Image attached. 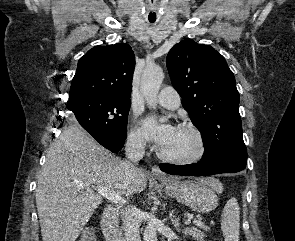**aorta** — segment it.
Returning <instances> with one entry per match:
<instances>
[{
	"instance_id": "aorta-1",
	"label": "aorta",
	"mask_w": 295,
	"mask_h": 241,
	"mask_svg": "<svg viewBox=\"0 0 295 241\" xmlns=\"http://www.w3.org/2000/svg\"><path fill=\"white\" fill-rule=\"evenodd\" d=\"M164 79V72L158 65L147 66L142 74L140 89L147 104L151 108L156 106V98ZM164 120V119H162ZM144 241H157L156 223L150 220L145 227Z\"/></svg>"
}]
</instances>
